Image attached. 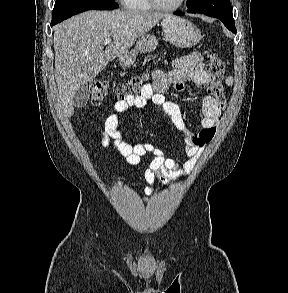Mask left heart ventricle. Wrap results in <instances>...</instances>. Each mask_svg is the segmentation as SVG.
I'll list each match as a JSON object with an SVG mask.
<instances>
[{
    "mask_svg": "<svg viewBox=\"0 0 288 293\" xmlns=\"http://www.w3.org/2000/svg\"><path fill=\"white\" fill-rule=\"evenodd\" d=\"M160 4L165 6H171L178 2V0H157Z\"/></svg>",
    "mask_w": 288,
    "mask_h": 293,
    "instance_id": "b2bd125f",
    "label": "left heart ventricle"
}]
</instances>
